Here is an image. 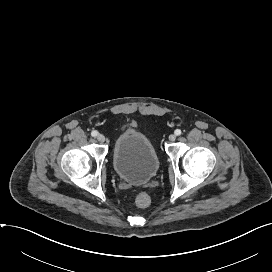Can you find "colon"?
Here are the masks:
<instances>
[{
    "instance_id": "obj_1",
    "label": "colon",
    "mask_w": 272,
    "mask_h": 272,
    "mask_svg": "<svg viewBox=\"0 0 272 272\" xmlns=\"http://www.w3.org/2000/svg\"><path fill=\"white\" fill-rule=\"evenodd\" d=\"M135 203L138 207H147L150 204V197L147 193L141 192L135 197Z\"/></svg>"
}]
</instances>
